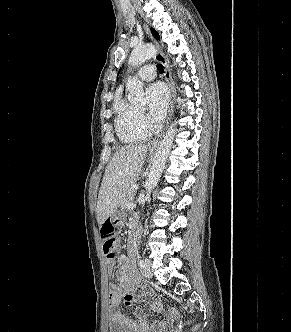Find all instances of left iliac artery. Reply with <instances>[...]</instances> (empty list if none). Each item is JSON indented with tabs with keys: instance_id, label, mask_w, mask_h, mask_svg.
<instances>
[{
	"instance_id": "1",
	"label": "left iliac artery",
	"mask_w": 291,
	"mask_h": 332,
	"mask_svg": "<svg viewBox=\"0 0 291 332\" xmlns=\"http://www.w3.org/2000/svg\"><path fill=\"white\" fill-rule=\"evenodd\" d=\"M138 264H139V266H140L141 268H145V261H144L143 259H140V260L138 261Z\"/></svg>"
}]
</instances>
